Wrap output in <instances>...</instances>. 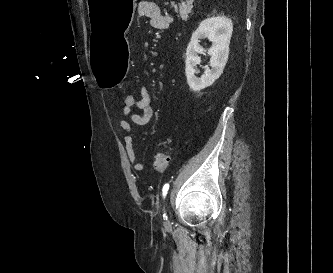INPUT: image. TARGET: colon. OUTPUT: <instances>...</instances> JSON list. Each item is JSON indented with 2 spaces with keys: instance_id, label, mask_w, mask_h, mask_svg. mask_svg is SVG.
Returning a JSON list of instances; mask_svg holds the SVG:
<instances>
[{
  "instance_id": "obj_1",
  "label": "colon",
  "mask_w": 333,
  "mask_h": 273,
  "mask_svg": "<svg viewBox=\"0 0 333 273\" xmlns=\"http://www.w3.org/2000/svg\"><path fill=\"white\" fill-rule=\"evenodd\" d=\"M124 107L136 108L138 96L134 94H127L124 97ZM170 157L167 153L159 152L154 157L153 167L156 171H164L169 165Z\"/></svg>"
}]
</instances>
